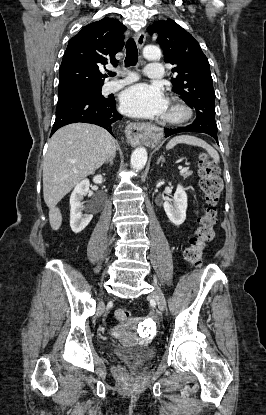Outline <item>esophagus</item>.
Segmentation results:
<instances>
[{
	"instance_id": "esophagus-1",
	"label": "esophagus",
	"mask_w": 266,
	"mask_h": 415,
	"mask_svg": "<svg viewBox=\"0 0 266 415\" xmlns=\"http://www.w3.org/2000/svg\"><path fill=\"white\" fill-rule=\"evenodd\" d=\"M145 32L143 30L139 31L136 34V44L139 49H141L145 43ZM145 126L141 123H130L125 130L126 137L130 144L138 145L144 141L145 134H144Z\"/></svg>"
}]
</instances>
